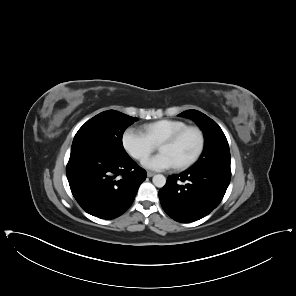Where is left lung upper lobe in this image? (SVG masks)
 Here are the masks:
<instances>
[{
    "label": "left lung upper lobe",
    "instance_id": "1",
    "mask_svg": "<svg viewBox=\"0 0 296 296\" xmlns=\"http://www.w3.org/2000/svg\"><path fill=\"white\" fill-rule=\"evenodd\" d=\"M178 116L194 120L205 137V145L194 168H230V151L221 128L208 116L197 110H187Z\"/></svg>",
    "mask_w": 296,
    "mask_h": 296
}]
</instances>
